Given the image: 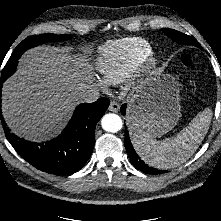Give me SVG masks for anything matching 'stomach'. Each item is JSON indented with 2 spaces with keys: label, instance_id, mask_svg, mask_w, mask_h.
Instances as JSON below:
<instances>
[{
  "label": "stomach",
  "instance_id": "obj_1",
  "mask_svg": "<svg viewBox=\"0 0 221 221\" xmlns=\"http://www.w3.org/2000/svg\"><path fill=\"white\" fill-rule=\"evenodd\" d=\"M180 116L178 82L156 70L136 87L128 106L127 126L134 137L151 140L171 131Z\"/></svg>",
  "mask_w": 221,
  "mask_h": 221
}]
</instances>
